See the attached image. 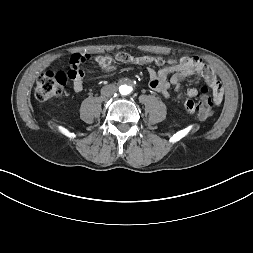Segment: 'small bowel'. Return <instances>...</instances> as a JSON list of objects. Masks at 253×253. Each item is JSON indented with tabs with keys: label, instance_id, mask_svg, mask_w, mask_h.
<instances>
[{
	"label": "small bowel",
	"instance_id": "small-bowel-1",
	"mask_svg": "<svg viewBox=\"0 0 253 253\" xmlns=\"http://www.w3.org/2000/svg\"><path fill=\"white\" fill-rule=\"evenodd\" d=\"M89 59L86 54L70 55L71 63L76 64L80 61L86 62ZM99 69L103 72L115 70L116 63H131L147 67L149 75V87L152 91L161 94L164 97L169 96V90L173 87L180 89V81L194 74L202 76L206 85L213 93L214 103L220 105L223 100V88L218 79L214 76L211 69L199 58L184 57L173 63H168L162 57H154L150 55L131 56L124 52H117L114 55H102L96 58ZM155 64L160 67L159 70L151 68L149 65ZM83 83V74H80ZM74 92L80 93L77 89L72 88ZM188 98L181 101V108L188 115L197 111V101L194 99L198 95V90L194 87L188 88L186 91Z\"/></svg>",
	"mask_w": 253,
	"mask_h": 253
}]
</instances>
